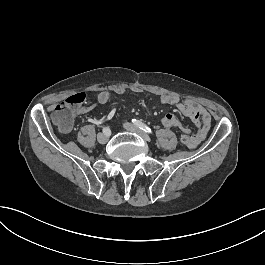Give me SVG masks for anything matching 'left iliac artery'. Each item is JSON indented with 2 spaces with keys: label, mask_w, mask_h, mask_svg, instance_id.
Listing matches in <instances>:
<instances>
[{
  "label": "left iliac artery",
  "mask_w": 265,
  "mask_h": 265,
  "mask_svg": "<svg viewBox=\"0 0 265 265\" xmlns=\"http://www.w3.org/2000/svg\"><path fill=\"white\" fill-rule=\"evenodd\" d=\"M132 122L138 126L140 129H142L143 131H145L146 133L149 134H153L151 128H149L146 124H144L143 122L136 120V119H132Z\"/></svg>",
  "instance_id": "44dca946"
}]
</instances>
